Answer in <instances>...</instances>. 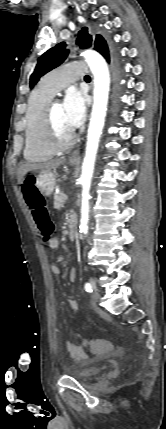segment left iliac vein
<instances>
[{"instance_id":"1","label":"left iliac vein","mask_w":166,"mask_h":429,"mask_svg":"<svg viewBox=\"0 0 166 429\" xmlns=\"http://www.w3.org/2000/svg\"><path fill=\"white\" fill-rule=\"evenodd\" d=\"M92 285H93V287H94V290H93V292L91 293V295H90V299H91V302L93 303V304H97L98 302H99V300H100V297H101V295H100V293L96 290V288H95V285L92 283Z\"/></svg>"}]
</instances>
